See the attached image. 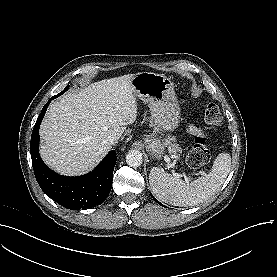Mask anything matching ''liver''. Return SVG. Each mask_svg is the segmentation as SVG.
<instances>
[{
	"label": "liver",
	"instance_id": "1",
	"mask_svg": "<svg viewBox=\"0 0 277 277\" xmlns=\"http://www.w3.org/2000/svg\"><path fill=\"white\" fill-rule=\"evenodd\" d=\"M134 74L91 83L50 104L40 125V155L56 172L76 176L91 171L110 151L109 135L135 122Z\"/></svg>",
	"mask_w": 277,
	"mask_h": 277
}]
</instances>
